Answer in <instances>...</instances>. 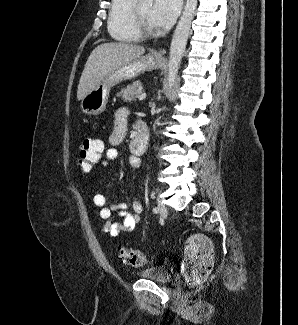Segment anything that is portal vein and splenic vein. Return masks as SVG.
<instances>
[{
	"label": "portal vein and splenic vein",
	"instance_id": "obj_1",
	"mask_svg": "<svg viewBox=\"0 0 298 325\" xmlns=\"http://www.w3.org/2000/svg\"><path fill=\"white\" fill-rule=\"evenodd\" d=\"M147 96V92H140L139 96H138V100H144V98H146Z\"/></svg>",
	"mask_w": 298,
	"mask_h": 325
}]
</instances>
